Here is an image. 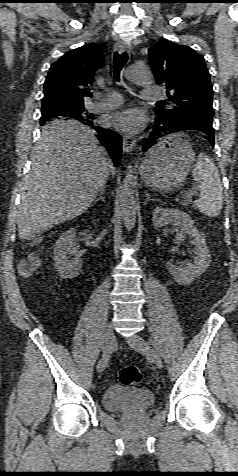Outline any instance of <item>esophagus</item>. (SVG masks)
<instances>
[{"label":"esophagus","instance_id":"obj_1","mask_svg":"<svg viewBox=\"0 0 238 476\" xmlns=\"http://www.w3.org/2000/svg\"><path fill=\"white\" fill-rule=\"evenodd\" d=\"M115 50L118 51L119 53H123L125 51L130 52L131 48L130 46L126 45L124 42H118L115 46ZM123 153H129L130 151L133 150V148L136 145V140L131 139L129 137L123 138Z\"/></svg>","mask_w":238,"mask_h":476}]
</instances>
